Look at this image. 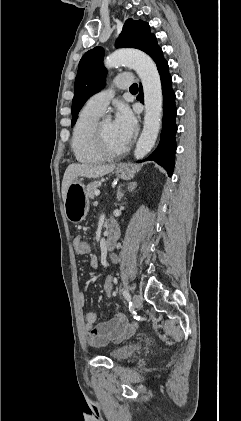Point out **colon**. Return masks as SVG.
<instances>
[{"label": "colon", "mask_w": 241, "mask_h": 421, "mask_svg": "<svg viewBox=\"0 0 241 421\" xmlns=\"http://www.w3.org/2000/svg\"><path fill=\"white\" fill-rule=\"evenodd\" d=\"M76 252L81 255H88L91 252V244L87 241L82 240L76 247ZM102 290L107 298L113 296V280L110 276H106L103 280Z\"/></svg>", "instance_id": "obj_1"}]
</instances>
